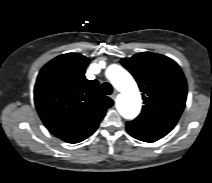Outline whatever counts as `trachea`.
Returning <instances> with one entry per match:
<instances>
[{"instance_id":"3493384b","label":"trachea","mask_w":212,"mask_h":183,"mask_svg":"<svg viewBox=\"0 0 212 183\" xmlns=\"http://www.w3.org/2000/svg\"><path fill=\"white\" fill-rule=\"evenodd\" d=\"M101 89H102L103 93L106 95H110L113 92L112 85L107 82L102 84Z\"/></svg>"}]
</instances>
